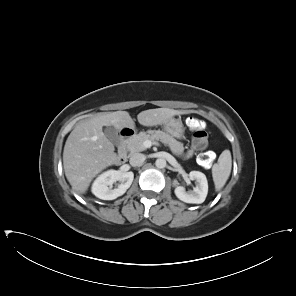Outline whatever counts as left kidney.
Segmentation results:
<instances>
[{
	"instance_id": "5707ae66",
	"label": "left kidney",
	"mask_w": 296,
	"mask_h": 296,
	"mask_svg": "<svg viewBox=\"0 0 296 296\" xmlns=\"http://www.w3.org/2000/svg\"><path fill=\"white\" fill-rule=\"evenodd\" d=\"M189 180L196 183V187L191 192H186L185 188L180 186L177 180H173L172 185L175 187V195L186 203H203L208 193V182L205 174L199 171H191L189 173Z\"/></svg>"
}]
</instances>
